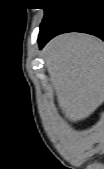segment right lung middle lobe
Segmentation results:
<instances>
[{
  "label": "right lung middle lobe",
  "mask_w": 104,
  "mask_h": 169,
  "mask_svg": "<svg viewBox=\"0 0 104 169\" xmlns=\"http://www.w3.org/2000/svg\"><path fill=\"white\" fill-rule=\"evenodd\" d=\"M70 0H54L45 3V15L40 25V29L43 28L47 22L58 12L62 5L69 3Z\"/></svg>",
  "instance_id": "1"
}]
</instances>
